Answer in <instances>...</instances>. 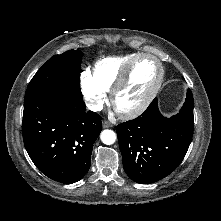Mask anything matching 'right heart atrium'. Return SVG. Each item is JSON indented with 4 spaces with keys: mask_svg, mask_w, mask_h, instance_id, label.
Instances as JSON below:
<instances>
[{
    "mask_svg": "<svg viewBox=\"0 0 221 221\" xmlns=\"http://www.w3.org/2000/svg\"><path fill=\"white\" fill-rule=\"evenodd\" d=\"M80 86L87 107L98 111L106 101V91L95 81L92 73L88 70L82 72Z\"/></svg>",
    "mask_w": 221,
    "mask_h": 221,
    "instance_id": "right-heart-atrium-1",
    "label": "right heart atrium"
}]
</instances>
